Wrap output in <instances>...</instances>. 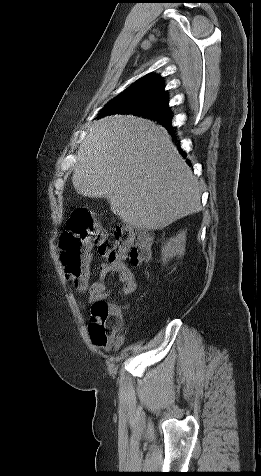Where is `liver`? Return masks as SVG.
I'll return each instance as SVG.
<instances>
[{"label": "liver", "instance_id": "obj_1", "mask_svg": "<svg viewBox=\"0 0 261 476\" xmlns=\"http://www.w3.org/2000/svg\"><path fill=\"white\" fill-rule=\"evenodd\" d=\"M72 182L78 194L106 198L115 215L138 229H163L202 209L198 179L168 132L132 115L90 126Z\"/></svg>", "mask_w": 261, "mask_h": 476}]
</instances>
